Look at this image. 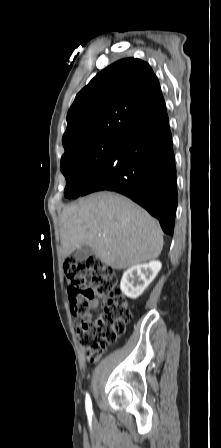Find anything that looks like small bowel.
<instances>
[{"label": "small bowel", "mask_w": 221, "mask_h": 448, "mask_svg": "<svg viewBox=\"0 0 221 448\" xmlns=\"http://www.w3.org/2000/svg\"><path fill=\"white\" fill-rule=\"evenodd\" d=\"M98 305H99V300L95 299L92 303V309H96L98 307Z\"/></svg>", "instance_id": "1"}]
</instances>
